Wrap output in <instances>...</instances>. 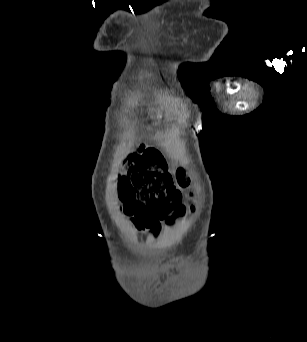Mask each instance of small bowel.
I'll list each match as a JSON object with an SVG mask.
<instances>
[{"label":"small bowel","mask_w":307,"mask_h":342,"mask_svg":"<svg viewBox=\"0 0 307 342\" xmlns=\"http://www.w3.org/2000/svg\"><path fill=\"white\" fill-rule=\"evenodd\" d=\"M131 216L128 218V223L131 228L141 236L142 239L147 237L156 240L161 232L159 223L150 214L146 205L128 207Z\"/></svg>","instance_id":"1"}]
</instances>
